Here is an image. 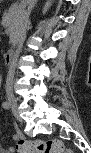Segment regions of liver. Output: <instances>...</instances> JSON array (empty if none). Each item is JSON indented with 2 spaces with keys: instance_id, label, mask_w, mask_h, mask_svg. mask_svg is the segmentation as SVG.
<instances>
[{
  "instance_id": "6515ba94",
  "label": "liver",
  "mask_w": 91,
  "mask_h": 153,
  "mask_svg": "<svg viewBox=\"0 0 91 153\" xmlns=\"http://www.w3.org/2000/svg\"><path fill=\"white\" fill-rule=\"evenodd\" d=\"M28 0H22L21 4H20V9L19 12L21 13V11L24 9V7L26 6ZM23 12V11H22Z\"/></svg>"
}]
</instances>
